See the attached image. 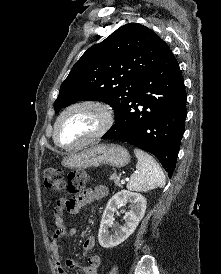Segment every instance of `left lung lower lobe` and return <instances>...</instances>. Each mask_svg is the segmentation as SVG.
Returning <instances> with one entry per match:
<instances>
[{
    "label": "left lung lower lobe",
    "mask_w": 221,
    "mask_h": 274,
    "mask_svg": "<svg viewBox=\"0 0 221 274\" xmlns=\"http://www.w3.org/2000/svg\"><path fill=\"white\" fill-rule=\"evenodd\" d=\"M186 91L169 50L140 80L136 95L115 114L102 139L128 142L155 155L171 178L185 130Z\"/></svg>",
    "instance_id": "1"
}]
</instances>
